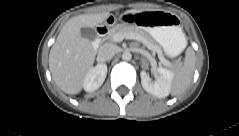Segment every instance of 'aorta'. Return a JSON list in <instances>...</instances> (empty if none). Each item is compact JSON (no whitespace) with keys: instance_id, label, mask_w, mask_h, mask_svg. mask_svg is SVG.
<instances>
[{"instance_id":"1","label":"aorta","mask_w":239,"mask_h":136,"mask_svg":"<svg viewBox=\"0 0 239 136\" xmlns=\"http://www.w3.org/2000/svg\"><path fill=\"white\" fill-rule=\"evenodd\" d=\"M132 58V54L129 51H124L122 54V59L125 61H130Z\"/></svg>"}]
</instances>
